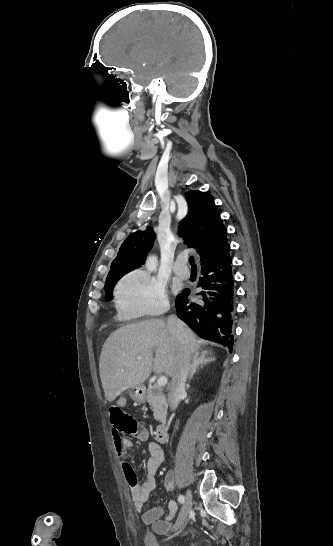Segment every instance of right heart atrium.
Instances as JSON below:
<instances>
[{
  "mask_svg": "<svg viewBox=\"0 0 333 546\" xmlns=\"http://www.w3.org/2000/svg\"><path fill=\"white\" fill-rule=\"evenodd\" d=\"M115 301L119 317L127 321L157 317L169 307L164 286L142 270L129 272L118 282Z\"/></svg>",
  "mask_w": 333,
  "mask_h": 546,
  "instance_id": "right-heart-atrium-1",
  "label": "right heart atrium"
}]
</instances>
